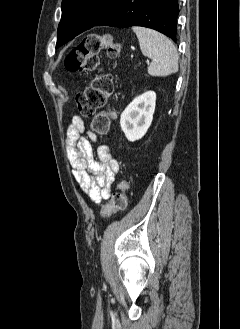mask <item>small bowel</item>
Returning a JSON list of instances; mask_svg holds the SVG:
<instances>
[{
  "instance_id": "obj_1",
  "label": "small bowel",
  "mask_w": 240,
  "mask_h": 329,
  "mask_svg": "<svg viewBox=\"0 0 240 329\" xmlns=\"http://www.w3.org/2000/svg\"><path fill=\"white\" fill-rule=\"evenodd\" d=\"M86 132L84 120L73 116L66 132L67 155L73 168V177L80 188L94 203H100L110 197L111 189L119 172L116 160L107 146L97 148V159L94 158L90 141H97L95 133Z\"/></svg>"
}]
</instances>
